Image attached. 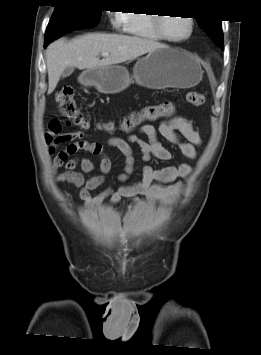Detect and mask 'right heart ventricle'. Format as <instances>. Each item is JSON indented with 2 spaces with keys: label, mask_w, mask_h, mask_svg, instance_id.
Wrapping results in <instances>:
<instances>
[{
  "label": "right heart ventricle",
  "mask_w": 261,
  "mask_h": 355,
  "mask_svg": "<svg viewBox=\"0 0 261 355\" xmlns=\"http://www.w3.org/2000/svg\"><path fill=\"white\" fill-rule=\"evenodd\" d=\"M155 14L146 12H130L127 13L128 23L127 32L135 37L161 40V36L157 33L154 26Z\"/></svg>",
  "instance_id": "right-heart-ventricle-1"
}]
</instances>
